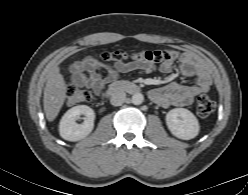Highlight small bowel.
Instances as JSON below:
<instances>
[{"mask_svg":"<svg viewBox=\"0 0 248 195\" xmlns=\"http://www.w3.org/2000/svg\"><path fill=\"white\" fill-rule=\"evenodd\" d=\"M171 55L159 65V70L163 73H170L174 63H179L180 72L184 77H196V84L184 86L171 83L150 92L151 99L164 108L171 106L183 107L192 104L194 99L209 91L212 79L207 66L189 52H178L170 50ZM142 52L135 54L131 61H116L112 65L105 66L106 75L103 76V66L95 59L88 57L76 62L71 67V77L75 84L92 89L95 93H100L104 87L116 80L123 74L130 72L150 73L156 70L154 62L142 57Z\"/></svg>","mask_w":248,"mask_h":195,"instance_id":"small-bowel-1","label":"small bowel"}]
</instances>
